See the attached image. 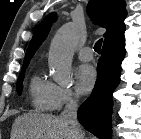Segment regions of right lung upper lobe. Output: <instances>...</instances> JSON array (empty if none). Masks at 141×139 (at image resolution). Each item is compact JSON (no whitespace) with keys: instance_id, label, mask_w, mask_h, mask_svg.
Here are the masks:
<instances>
[{"instance_id":"cb5924a9","label":"right lung upper lobe","mask_w":141,"mask_h":139,"mask_svg":"<svg viewBox=\"0 0 141 139\" xmlns=\"http://www.w3.org/2000/svg\"><path fill=\"white\" fill-rule=\"evenodd\" d=\"M125 0H90L87 12L94 23L107 29L104 34V44L115 41L124 36L126 18ZM56 16L51 13L46 16L35 29L33 38L28 46L23 66H28L34 53L47 37Z\"/></svg>"}]
</instances>
